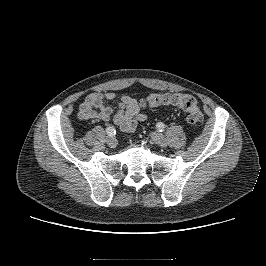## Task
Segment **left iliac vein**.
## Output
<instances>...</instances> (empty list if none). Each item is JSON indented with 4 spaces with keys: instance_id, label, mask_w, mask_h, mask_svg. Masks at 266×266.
I'll list each match as a JSON object with an SVG mask.
<instances>
[{
    "instance_id": "1",
    "label": "left iliac vein",
    "mask_w": 266,
    "mask_h": 266,
    "mask_svg": "<svg viewBox=\"0 0 266 266\" xmlns=\"http://www.w3.org/2000/svg\"><path fill=\"white\" fill-rule=\"evenodd\" d=\"M152 141L159 146L165 147L167 145L166 139L159 132H152L150 134Z\"/></svg>"
}]
</instances>
